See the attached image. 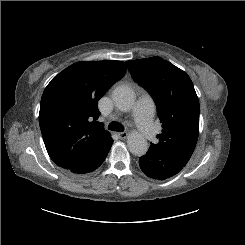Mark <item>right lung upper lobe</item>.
Here are the masks:
<instances>
[{
	"mask_svg": "<svg viewBox=\"0 0 245 245\" xmlns=\"http://www.w3.org/2000/svg\"><path fill=\"white\" fill-rule=\"evenodd\" d=\"M125 72L122 61H81L50 81L41 98L39 123L55 164L74 168L110 137L97 121V103Z\"/></svg>",
	"mask_w": 245,
	"mask_h": 245,
	"instance_id": "1",
	"label": "right lung upper lobe"
}]
</instances>
